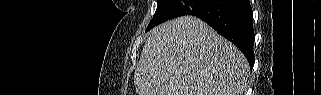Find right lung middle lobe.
<instances>
[{
    "mask_svg": "<svg viewBox=\"0 0 321 95\" xmlns=\"http://www.w3.org/2000/svg\"><path fill=\"white\" fill-rule=\"evenodd\" d=\"M209 1L210 0H157L156 12L147 26L146 32L164 21L191 14Z\"/></svg>",
    "mask_w": 321,
    "mask_h": 95,
    "instance_id": "right-lung-middle-lobe-1",
    "label": "right lung middle lobe"
}]
</instances>
